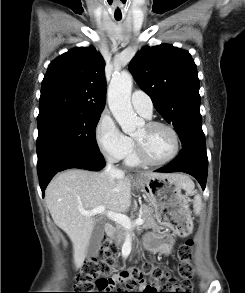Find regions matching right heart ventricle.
<instances>
[{
	"instance_id": "1",
	"label": "right heart ventricle",
	"mask_w": 245,
	"mask_h": 293,
	"mask_svg": "<svg viewBox=\"0 0 245 293\" xmlns=\"http://www.w3.org/2000/svg\"><path fill=\"white\" fill-rule=\"evenodd\" d=\"M125 163L128 166L135 167L140 165L142 162L138 159L135 151L131 150V152L125 157Z\"/></svg>"
}]
</instances>
